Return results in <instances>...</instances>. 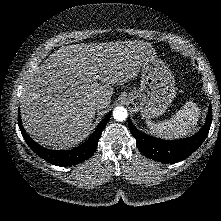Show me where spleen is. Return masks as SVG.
Instances as JSON below:
<instances>
[{"label": "spleen", "instance_id": "1", "mask_svg": "<svg viewBox=\"0 0 221 221\" xmlns=\"http://www.w3.org/2000/svg\"><path fill=\"white\" fill-rule=\"evenodd\" d=\"M200 110L192 101L186 104L169 120L155 123L147 120L149 129L158 137L178 139L190 135L199 120Z\"/></svg>", "mask_w": 221, "mask_h": 221}]
</instances>
